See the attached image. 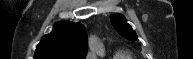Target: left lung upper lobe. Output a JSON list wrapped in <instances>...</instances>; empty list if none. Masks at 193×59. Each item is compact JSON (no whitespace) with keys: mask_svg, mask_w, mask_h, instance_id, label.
I'll return each instance as SVG.
<instances>
[{"mask_svg":"<svg viewBox=\"0 0 193 59\" xmlns=\"http://www.w3.org/2000/svg\"><path fill=\"white\" fill-rule=\"evenodd\" d=\"M110 21L117 32L124 38L130 41H137V34L132 27L127 23L126 18L121 14L110 16Z\"/></svg>","mask_w":193,"mask_h":59,"instance_id":"left-lung-upper-lobe-1","label":"left lung upper lobe"}]
</instances>
